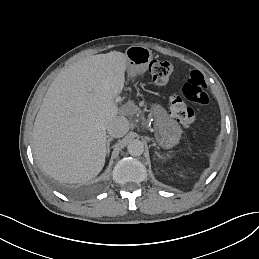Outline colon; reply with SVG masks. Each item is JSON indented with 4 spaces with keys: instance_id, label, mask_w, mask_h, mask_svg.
Listing matches in <instances>:
<instances>
[{
    "instance_id": "1",
    "label": "colon",
    "mask_w": 259,
    "mask_h": 259,
    "mask_svg": "<svg viewBox=\"0 0 259 259\" xmlns=\"http://www.w3.org/2000/svg\"><path fill=\"white\" fill-rule=\"evenodd\" d=\"M150 74L157 85H166L173 74L174 66L169 61H153ZM170 113L184 128L190 127L196 120L194 110L188 102L207 104L208 94L204 76L199 71H192L185 80L182 94H175L170 98Z\"/></svg>"
}]
</instances>
